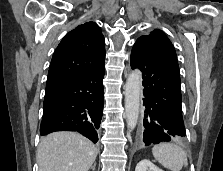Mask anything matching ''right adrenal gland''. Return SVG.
I'll list each match as a JSON object with an SVG mask.
<instances>
[{"label": "right adrenal gland", "instance_id": "2a0ac1e0", "mask_svg": "<svg viewBox=\"0 0 223 171\" xmlns=\"http://www.w3.org/2000/svg\"><path fill=\"white\" fill-rule=\"evenodd\" d=\"M96 167V163H94V165L91 167V169L94 171Z\"/></svg>", "mask_w": 223, "mask_h": 171}]
</instances>
